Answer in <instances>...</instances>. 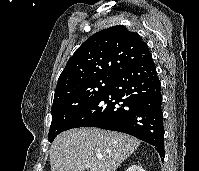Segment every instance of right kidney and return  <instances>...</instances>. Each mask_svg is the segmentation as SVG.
I'll list each match as a JSON object with an SVG mask.
<instances>
[{"label": "right kidney", "instance_id": "right-kidney-1", "mask_svg": "<svg viewBox=\"0 0 199 171\" xmlns=\"http://www.w3.org/2000/svg\"><path fill=\"white\" fill-rule=\"evenodd\" d=\"M126 171H145L141 166L133 164Z\"/></svg>", "mask_w": 199, "mask_h": 171}]
</instances>
